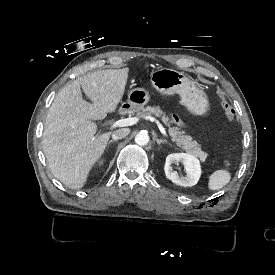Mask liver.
Wrapping results in <instances>:
<instances>
[{
  "label": "liver",
  "mask_w": 275,
  "mask_h": 275,
  "mask_svg": "<svg viewBox=\"0 0 275 275\" xmlns=\"http://www.w3.org/2000/svg\"><path fill=\"white\" fill-rule=\"evenodd\" d=\"M128 71L106 69L79 77L58 92L49 108L43 151L54 177L71 189L84 186L106 148L111 132L95 135L97 125L92 120L116 110ZM81 87L92 104L82 98Z\"/></svg>",
  "instance_id": "6515ba94"
}]
</instances>
